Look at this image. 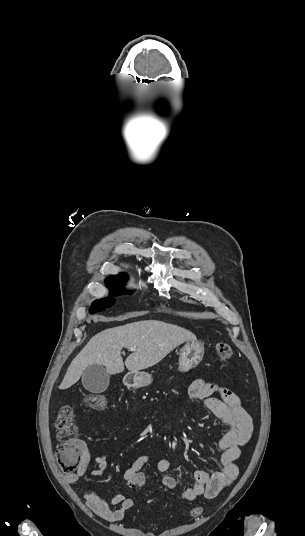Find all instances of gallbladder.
I'll return each mask as SVG.
<instances>
[{"instance_id":"gallbladder-1","label":"gallbladder","mask_w":305,"mask_h":536,"mask_svg":"<svg viewBox=\"0 0 305 536\" xmlns=\"http://www.w3.org/2000/svg\"><path fill=\"white\" fill-rule=\"evenodd\" d=\"M109 382V374H107L104 366H98V364L88 366L82 374V384L85 390L92 392V394L105 392L109 386Z\"/></svg>"}]
</instances>
